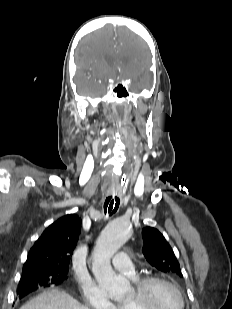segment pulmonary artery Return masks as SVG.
I'll return each mask as SVG.
<instances>
[{
    "label": "pulmonary artery",
    "instance_id": "e3ab8cb5",
    "mask_svg": "<svg viewBox=\"0 0 232 309\" xmlns=\"http://www.w3.org/2000/svg\"><path fill=\"white\" fill-rule=\"evenodd\" d=\"M112 263L117 271L122 272L131 278L135 277V267L127 252L121 251L117 253Z\"/></svg>",
    "mask_w": 232,
    "mask_h": 309
}]
</instances>
